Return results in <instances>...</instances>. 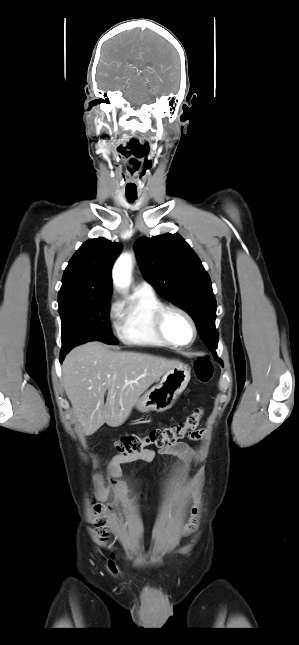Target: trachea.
Returning <instances> with one entry per match:
<instances>
[{
	"mask_svg": "<svg viewBox=\"0 0 299 645\" xmlns=\"http://www.w3.org/2000/svg\"><path fill=\"white\" fill-rule=\"evenodd\" d=\"M127 199H128L130 202H133V201L136 199V196H127Z\"/></svg>",
	"mask_w": 299,
	"mask_h": 645,
	"instance_id": "1",
	"label": "trachea"
}]
</instances>
